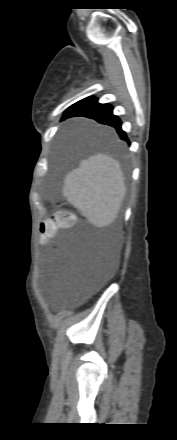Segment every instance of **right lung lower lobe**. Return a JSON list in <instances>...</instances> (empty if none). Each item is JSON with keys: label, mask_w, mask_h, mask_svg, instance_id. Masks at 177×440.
I'll use <instances>...</instances> for the list:
<instances>
[{"label": "right lung lower lobe", "mask_w": 177, "mask_h": 440, "mask_svg": "<svg viewBox=\"0 0 177 440\" xmlns=\"http://www.w3.org/2000/svg\"><path fill=\"white\" fill-rule=\"evenodd\" d=\"M85 116L95 119L101 124H106L114 127L117 130L120 138L129 142L125 132L121 129L120 119L113 114V107L108 104L93 103L78 112L73 113L69 117Z\"/></svg>", "instance_id": "right-lung-lower-lobe-1"}]
</instances>
